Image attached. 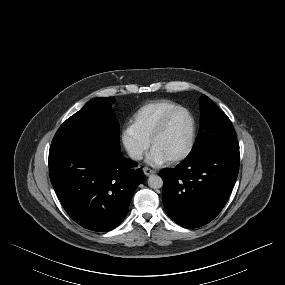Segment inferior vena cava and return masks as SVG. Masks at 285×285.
I'll return each mask as SVG.
<instances>
[{"instance_id":"602c4592","label":"inferior vena cava","mask_w":285,"mask_h":285,"mask_svg":"<svg viewBox=\"0 0 285 285\" xmlns=\"http://www.w3.org/2000/svg\"><path fill=\"white\" fill-rule=\"evenodd\" d=\"M130 157L134 160H141L142 154L140 152H132L130 153Z\"/></svg>"}]
</instances>
